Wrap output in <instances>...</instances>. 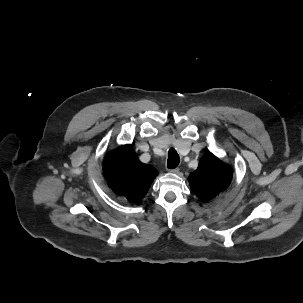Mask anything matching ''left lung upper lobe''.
Returning <instances> with one entry per match:
<instances>
[{"mask_svg":"<svg viewBox=\"0 0 303 303\" xmlns=\"http://www.w3.org/2000/svg\"><path fill=\"white\" fill-rule=\"evenodd\" d=\"M232 179V169L212 153L205 155L188 181L194 194L201 200L209 201L226 189Z\"/></svg>","mask_w":303,"mask_h":303,"instance_id":"obj_1","label":"left lung upper lobe"}]
</instances>
